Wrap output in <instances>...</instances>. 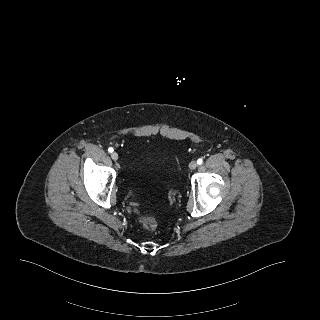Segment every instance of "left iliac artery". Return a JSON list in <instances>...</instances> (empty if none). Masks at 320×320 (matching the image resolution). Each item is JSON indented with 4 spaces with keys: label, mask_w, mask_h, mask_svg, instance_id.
Masks as SVG:
<instances>
[{
    "label": "left iliac artery",
    "mask_w": 320,
    "mask_h": 320,
    "mask_svg": "<svg viewBox=\"0 0 320 320\" xmlns=\"http://www.w3.org/2000/svg\"><path fill=\"white\" fill-rule=\"evenodd\" d=\"M197 163L200 165V164H202L203 163V159L202 158H199L198 160H197Z\"/></svg>",
    "instance_id": "1"
}]
</instances>
